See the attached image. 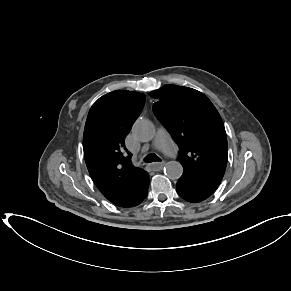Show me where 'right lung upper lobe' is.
Segmentation results:
<instances>
[{
  "mask_svg": "<svg viewBox=\"0 0 291 291\" xmlns=\"http://www.w3.org/2000/svg\"><path fill=\"white\" fill-rule=\"evenodd\" d=\"M144 104V94L116 90L100 97L86 120L84 159L95 185L114 204L136 202L149 187V174L132 165L124 143Z\"/></svg>",
  "mask_w": 291,
  "mask_h": 291,
  "instance_id": "obj_1",
  "label": "right lung upper lobe"
}]
</instances>
